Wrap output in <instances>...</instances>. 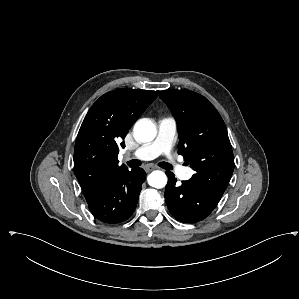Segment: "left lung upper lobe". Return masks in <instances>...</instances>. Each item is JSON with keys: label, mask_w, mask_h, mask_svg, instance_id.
I'll return each instance as SVG.
<instances>
[{"label": "left lung upper lobe", "mask_w": 299, "mask_h": 299, "mask_svg": "<svg viewBox=\"0 0 299 299\" xmlns=\"http://www.w3.org/2000/svg\"><path fill=\"white\" fill-rule=\"evenodd\" d=\"M160 97L177 122L178 152L196 171L191 180L223 195L234 170V157L220 114L193 91L165 90Z\"/></svg>", "instance_id": "left-lung-upper-lobe-1"}]
</instances>
